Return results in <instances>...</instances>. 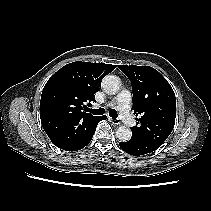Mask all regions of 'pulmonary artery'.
Listing matches in <instances>:
<instances>
[{"label":"pulmonary artery","mask_w":211,"mask_h":211,"mask_svg":"<svg viewBox=\"0 0 211 211\" xmlns=\"http://www.w3.org/2000/svg\"><path fill=\"white\" fill-rule=\"evenodd\" d=\"M130 101L131 94L127 90L121 91L114 99V103L120 112V118L128 126H134L136 125V120L130 113Z\"/></svg>","instance_id":"1"}]
</instances>
